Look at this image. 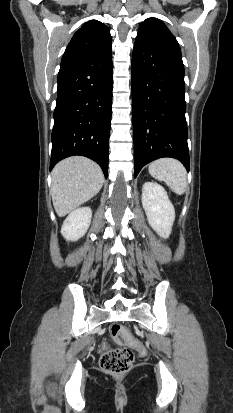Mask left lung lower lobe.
I'll list each match as a JSON object with an SVG mask.
<instances>
[{
  "label": "left lung lower lobe",
  "instance_id": "0a47b994",
  "mask_svg": "<svg viewBox=\"0 0 233 413\" xmlns=\"http://www.w3.org/2000/svg\"><path fill=\"white\" fill-rule=\"evenodd\" d=\"M131 75L135 177L161 157L178 159L189 171L181 52L157 42L135 43Z\"/></svg>",
  "mask_w": 233,
  "mask_h": 413
}]
</instances>
